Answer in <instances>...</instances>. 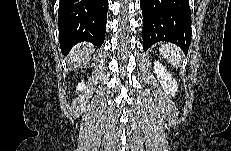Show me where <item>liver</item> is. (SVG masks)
<instances>
[{"instance_id":"obj_1","label":"liver","mask_w":231,"mask_h":151,"mask_svg":"<svg viewBox=\"0 0 231 151\" xmlns=\"http://www.w3.org/2000/svg\"><path fill=\"white\" fill-rule=\"evenodd\" d=\"M93 52V46L91 44L83 43L77 46L71 54L70 64L74 67L85 64L88 61L89 55Z\"/></svg>"}]
</instances>
